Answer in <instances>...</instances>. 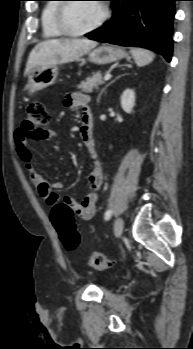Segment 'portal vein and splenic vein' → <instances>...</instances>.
Segmentation results:
<instances>
[{
    "label": "portal vein and splenic vein",
    "mask_w": 193,
    "mask_h": 349,
    "mask_svg": "<svg viewBox=\"0 0 193 349\" xmlns=\"http://www.w3.org/2000/svg\"><path fill=\"white\" fill-rule=\"evenodd\" d=\"M110 78H111V74H106L105 77H104V80L108 81Z\"/></svg>",
    "instance_id": "1"
}]
</instances>
